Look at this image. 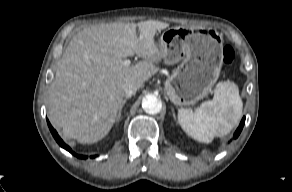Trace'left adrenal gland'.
Listing matches in <instances>:
<instances>
[{
    "instance_id": "a2214340",
    "label": "left adrenal gland",
    "mask_w": 292,
    "mask_h": 192,
    "mask_svg": "<svg viewBox=\"0 0 292 192\" xmlns=\"http://www.w3.org/2000/svg\"><path fill=\"white\" fill-rule=\"evenodd\" d=\"M173 117H174V119L176 120V116H175V113H174V111H173Z\"/></svg>"
}]
</instances>
